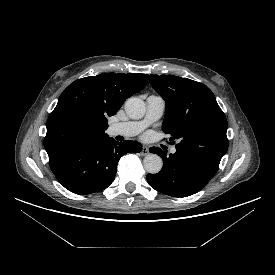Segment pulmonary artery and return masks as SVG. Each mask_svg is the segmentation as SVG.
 Returning a JSON list of instances; mask_svg holds the SVG:
<instances>
[{
    "label": "pulmonary artery",
    "mask_w": 275,
    "mask_h": 275,
    "mask_svg": "<svg viewBox=\"0 0 275 275\" xmlns=\"http://www.w3.org/2000/svg\"><path fill=\"white\" fill-rule=\"evenodd\" d=\"M146 114L140 121H129L116 123L109 127L108 133L111 136L132 137L140 133L147 126L161 118L165 110V101L160 96L151 95L146 100ZM176 148H171V153H175Z\"/></svg>",
    "instance_id": "e3ab8cb5"
}]
</instances>
